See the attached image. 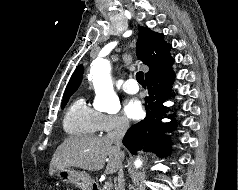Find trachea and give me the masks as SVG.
<instances>
[{"mask_svg":"<svg viewBox=\"0 0 238 190\" xmlns=\"http://www.w3.org/2000/svg\"><path fill=\"white\" fill-rule=\"evenodd\" d=\"M136 79L140 85H142L143 87L146 86L142 71L137 72Z\"/></svg>","mask_w":238,"mask_h":190,"instance_id":"obj_1","label":"trachea"}]
</instances>
